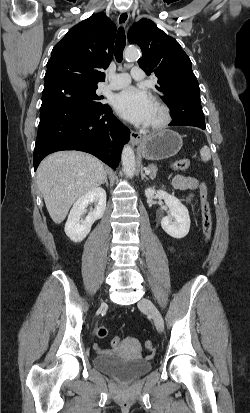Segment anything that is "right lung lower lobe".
Masks as SVG:
<instances>
[{"label":"right lung lower lobe","instance_id":"1","mask_svg":"<svg viewBox=\"0 0 250 413\" xmlns=\"http://www.w3.org/2000/svg\"><path fill=\"white\" fill-rule=\"evenodd\" d=\"M129 136V129L108 105L91 108L72 103L51 104L40 110L34 169L45 156L61 150L88 152L116 169Z\"/></svg>","mask_w":250,"mask_h":413}]
</instances>
